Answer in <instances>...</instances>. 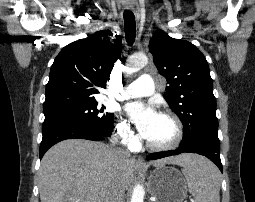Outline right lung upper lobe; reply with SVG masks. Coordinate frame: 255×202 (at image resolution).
Returning a JSON list of instances; mask_svg holds the SVG:
<instances>
[{"label":"right lung upper lobe","mask_w":255,"mask_h":202,"mask_svg":"<svg viewBox=\"0 0 255 202\" xmlns=\"http://www.w3.org/2000/svg\"><path fill=\"white\" fill-rule=\"evenodd\" d=\"M109 30L98 31L65 46L55 58L45 92L44 113L96 102L97 87L106 81L121 54V38L111 42Z\"/></svg>","instance_id":"cb5924a9"}]
</instances>
